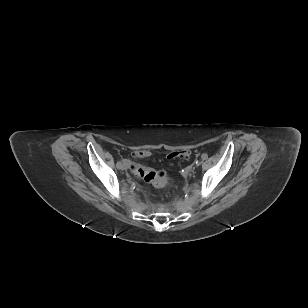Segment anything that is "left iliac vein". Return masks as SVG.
Here are the masks:
<instances>
[{
    "instance_id": "1",
    "label": "left iliac vein",
    "mask_w": 308,
    "mask_h": 308,
    "mask_svg": "<svg viewBox=\"0 0 308 308\" xmlns=\"http://www.w3.org/2000/svg\"><path fill=\"white\" fill-rule=\"evenodd\" d=\"M201 163H202L201 161H197L196 165L199 166V165H201Z\"/></svg>"
}]
</instances>
